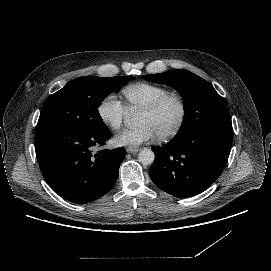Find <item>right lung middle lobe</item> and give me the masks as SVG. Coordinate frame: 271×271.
<instances>
[{
    "instance_id": "right-lung-middle-lobe-1",
    "label": "right lung middle lobe",
    "mask_w": 271,
    "mask_h": 271,
    "mask_svg": "<svg viewBox=\"0 0 271 271\" xmlns=\"http://www.w3.org/2000/svg\"><path fill=\"white\" fill-rule=\"evenodd\" d=\"M132 78L84 76L70 81L45 101L36 132L49 127L93 131L106 126L98 107L111 92Z\"/></svg>"
}]
</instances>
